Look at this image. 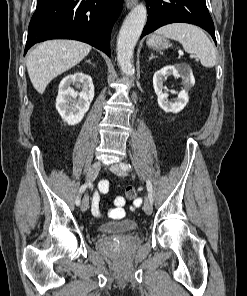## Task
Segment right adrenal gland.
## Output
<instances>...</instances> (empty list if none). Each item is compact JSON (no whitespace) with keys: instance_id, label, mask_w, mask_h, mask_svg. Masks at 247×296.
I'll use <instances>...</instances> for the list:
<instances>
[{"instance_id":"right-adrenal-gland-1","label":"right adrenal gland","mask_w":247,"mask_h":296,"mask_svg":"<svg viewBox=\"0 0 247 296\" xmlns=\"http://www.w3.org/2000/svg\"><path fill=\"white\" fill-rule=\"evenodd\" d=\"M88 63H91V61H90V60H88Z\"/></svg>"}]
</instances>
